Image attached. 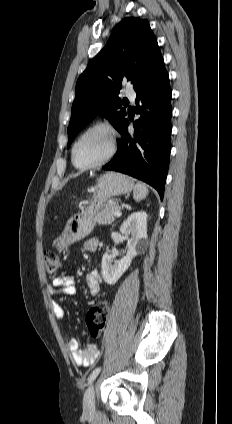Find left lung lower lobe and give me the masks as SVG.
Masks as SVG:
<instances>
[{"mask_svg":"<svg viewBox=\"0 0 232 424\" xmlns=\"http://www.w3.org/2000/svg\"><path fill=\"white\" fill-rule=\"evenodd\" d=\"M135 91V112L141 117L133 123V134L128 133L129 121L125 118L119 130L123 140L118 142L114 159L103 169L138 178L154 187L163 199L172 130L171 89L163 59Z\"/></svg>","mask_w":232,"mask_h":424,"instance_id":"0a47b994","label":"left lung lower lobe"}]
</instances>
